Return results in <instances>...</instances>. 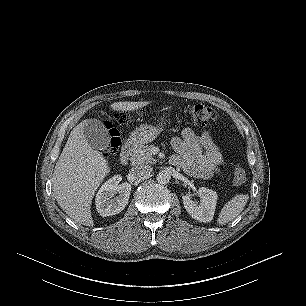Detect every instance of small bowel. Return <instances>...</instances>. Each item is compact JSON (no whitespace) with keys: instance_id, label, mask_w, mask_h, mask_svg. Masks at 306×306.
<instances>
[{"instance_id":"small-bowel-1","label":"small bowel","mask_w":306,"mask_h":306,"mask_svg":"<svg viewBox=\"0 0 306 306\" xmlns=\"http://www.w3.org/2000/svg\"><path fill=\"white\" fill-rule=\"evenodd\" d=\"M172 145L178 155L171 162L190 176L209 179L221 171L224 159L210 131L196 135L191 128L186 127L181 137L172 139Z\"/></svg>"}]
</instances>
